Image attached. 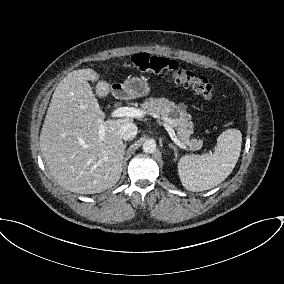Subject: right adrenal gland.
Instances as JSON below:
<instances>
[{"instance_id":"2a0ac1e0","label":"right adrenal gland","mask_w":284,"mask_h":284,"mask_svg":"<svg viewBox=\"0 0 284 284\" xmlns=\"http://www.w3.org/2000/svg\"><path fill=\"white\" fill-rule=\"evenodd\" d=\"M124 148H126V143L124 144Z\"/></svg>"}]
</instances>
